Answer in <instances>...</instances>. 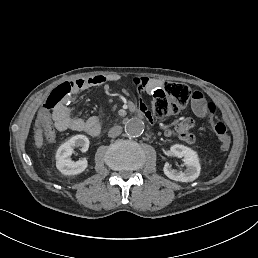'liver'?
Here are the masks:
<instances>
[{"mask_svg":"<svg viewBox=\"0 0 258 258\" xmlns=\"http://www.w3.org/2000/svg\"><path fill=\"white\" fill-rule=\"evenodd\" d=\"M36 126L40 127L38 120L36 121ZM35 142H36L37 146H41L42 145V135H41V130L40 129L36 133Z\"/></svg>","mask_w":258,"mask_h":258,"instance_id":"6515ba94","label":"liver"}]
</instances>
